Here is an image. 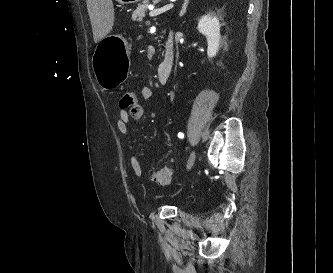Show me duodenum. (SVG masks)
Listing matches in <instances>:
<instances>
[{
    "instance_id": "1",
    "label": "duodenum",
    "mask_w": 333,
    "mask_h": 273,
    "mask_svg": "<svg viewBox=\"0 0 333 273\" xmlns=\"http://www.w3.org/2000/svg\"><path fill=\"white\" fill-rule=\"evenodd\" d=\"M174 65V50H173V39L171 36L168 37L165 46L164 57L157 67V77L161 84H166L173 71Z\"/></svg>"
}]
</instances>
